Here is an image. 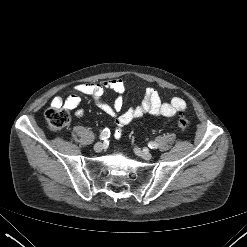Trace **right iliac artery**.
Returning a JSON list of instances; mask_svg holds the SVG:
<instances>
[{"label": "right iliac artery", "instance_id": "right-iliac-artery-1", "mask_svg": "<svg viewBox=\"0 0 247 247\" xmlns=\"http://www.w3.org/2000/svg\"><path fill=\"white\" fill-rule=\"evenodd\" d=\"M110 137V130L108 128L103 129V131L100 134V139L105 140Z\"/></svg>", "mask_w": 247, "mask_h": 247}]
</instances>
